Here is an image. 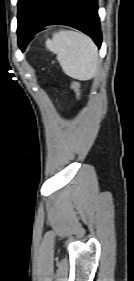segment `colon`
<instances>
[{
    "instance_id": "5ec220e1",
    "label": "colon",
    "mask_w": 134,
    "mask_h": 281,
    "mask_svg": "<svg viewBox=\"0 0 134 281\" xmlns=\"http://www.w3.org/2000/svg\"><path fill=\"white\" fill-rule=\"evenodd\" d=\"M71 88H72V90L74 91V93H75L77 99L80 100V98H81V91H80V85H79V83L76 82V81H72V82H71Z\"/></svg>"
}]
</instances>
